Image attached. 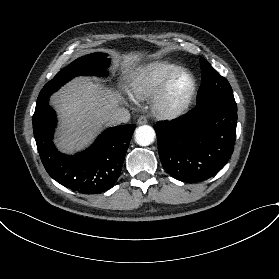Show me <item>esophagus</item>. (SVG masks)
<instances>
[{
    "instance_id": "34e87169",
    "label": "esophagus",
    "mask_w": 279,
    "mask_h": 279,
    "mask_svg": "<svg viewBox=\"0 0 279 279\" xmlns=\"http://www.w3.org/2000/svg\"><path fill=\"white\" fill-rule=\"evenodd\" d=\"M138 124L139 125H143V124H146L148 122L146 116H140L137 120Z\"/></svg>"
}]
</instances>
